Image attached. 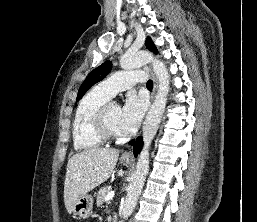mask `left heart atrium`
<instances>
[{"mask_svg": "<svg viewBox=\"0 0 257 222\" xmlns=\"http://www.w3.org/2000/svg\"><path fill=\"white\" fill-rule=\"evenodd\" d=\"M147 103L143 97L130 94L121 109L118 129L121 134H130L139 126L146 111Z\"/></svg>", "mask_w": 257, "mask_h": 222, "instance_id": "39dd6f15", "label": "left heart atrium"}]
</instances>
